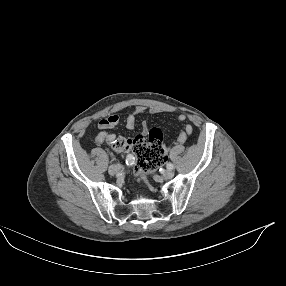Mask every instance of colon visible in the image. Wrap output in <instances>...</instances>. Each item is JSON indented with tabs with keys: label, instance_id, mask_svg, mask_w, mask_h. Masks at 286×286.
I'll return each instance as SVG.
<instances>
[{
	"label": "colon",
	"instance_id": "obj_1",
	"mask_svg": "<svg viewBox=\"0 0 286 286\" xmlns=\"http://www.w3.org/2000/svg\"><path fill=\"white\" fill-rule=\"evenodd\" d=\"M111 144L116 151H131L137 159V171L142 174L154 170L166 157L163 133L156 127L151 128L147 136L115 137Z\"/></svg>",
	"mask_w": 286,
	"mask_h": 286
}]
</instances>
